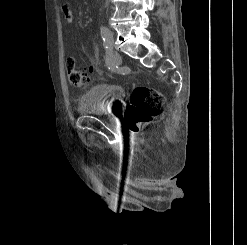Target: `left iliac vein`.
Masks as SVG:
<instances>
[{
    "instance_id": "4c4485c4",
    "label": "left iliac vein",
    "mask_w": 247,
    "mask_h": 245,
    "mask_svg": "<svg viewBox=\"0 0 247 245\" xmlns=\"http://www.w3.org/2000/svg\"><path fill=\"white\" fill-rule=\"evenodd\" d=\"M112 48H113V45H112ZM111 61H112V66H117L121 64V56L114 50L112 53Z\"/></svg>"
}]
</instances>
